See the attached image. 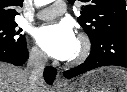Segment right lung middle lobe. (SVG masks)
Returning a JSON list of instances; mask_svg holds the SVG:
<instances>
[{
  "instance_id": "obj_1",
  "label": "right lung middle lobe",
  "mask_w": 127,
  "mask_h": 92,
  "mask_svg": "<svg viewBox=\"0 0 127 92\" xmlns=\"http://www.w3.org/2000/svg\"><path fill=\"white\" fill-rule=\"evenodd\" d=\"M17 24L6 23L0 24V44H9L14 47H23L26 45V39L24 35H20L22 29H16Z\"/></svg>"
}]
</instances>
